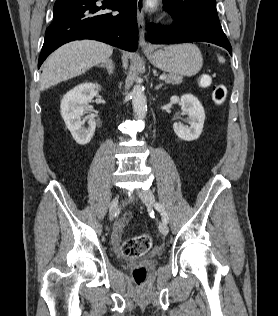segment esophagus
<instances>
[{"instance_id": "34e87169", "label": "esophagus", "mask_w": 278, "mask_h": 316, "mask_svg": "<svg viewBox=\"0 0 278 316\" xmlns=\"http://www.w3.org/2000/svg\"><path fill=\"white\" fill-rule=\"evenodd\" d=\"M137 24L139 29V45L144 53H149L151 48L145 38L146 26L144 19V0H137Z\"/></svg>"}]
</instances>
